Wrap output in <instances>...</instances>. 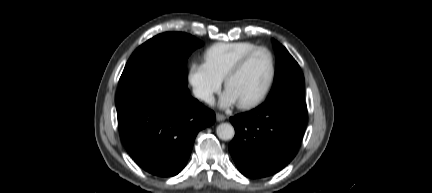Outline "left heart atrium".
<instances>
[{"mask_svg":"<svg viewBox=\"0 0 432 193\" xmlns=\"http://www.w3.org/2000/svg\"><path fill=\"white\" fill-rule=\"evenodd\" d=\"M236 103H237V101H236L235 97L228 90L224 93V95L222 96V98L220 100V105H221V107H224V108L233 106Z\"/></svg>","mask_w":432,"mask_h":193,"instance_id":"39dd6f15","label":"left heart atrium"}]
</instances>
